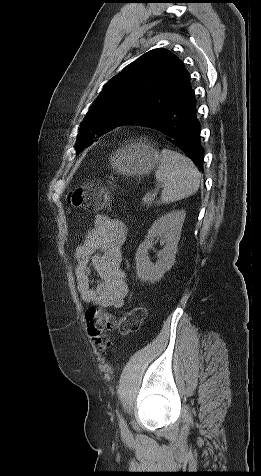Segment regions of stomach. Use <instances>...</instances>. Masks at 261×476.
<instances>
[{
    "mask_svg": "<svg viewBox=\"0 0 261 476\" xmlns=\"http://www.w3.org/2000/svg\"><path fill=\"white\" fill-rule=\"evenodd\" d=\"M160 161L159 152L151 145L134 142L111 154V167L127 176H142L151 172Z\"/></svg>",
    "mask_w": 261,
    "mask_h": 476,
    "instance_id": "obj_1",
    "label": "stomach"
}]
</instances>
